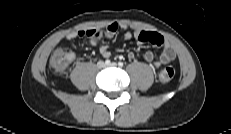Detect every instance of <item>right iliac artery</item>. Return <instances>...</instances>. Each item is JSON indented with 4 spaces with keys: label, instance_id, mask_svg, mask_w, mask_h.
<instances>
[{
    "label": "right iliac artery",
    "instance_id": "obj_1",
    "mask_svg": "<svg viewBox=\"0 0 231 134\" xmlns=\"http://www.w3.org/2000/svg\"><path fill=\"white\" fill-rule=\"evenodd\" d=\"M111 63V61L109 60V59H107L106 61H105V64H107V65H109Z\"/></svg>",
    "mask_w": 231,
    "mask_h": 134
}]
</instances>
